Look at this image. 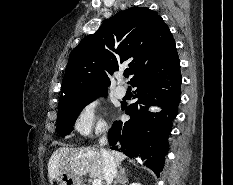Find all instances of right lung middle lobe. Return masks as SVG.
<instances>
[{"instance_id":"dd1d6c3e","label":"right lung middle lobe","mask_w":233,"mask_h":185,"mask_svg":"<svg viewBox=\"0 0 233 185\" xmlns=\"http://www.w3.org/2000/svg\"><path fill=\"white\" fill-rule=\"evenodd\" d=\"M106 94L107 91L98 92L82 100L59 105L57 125L60 135L64 137L72 131V126L79 112L85 105L95 100L98 96H106Z\"/></svg>"}]
</instances>
